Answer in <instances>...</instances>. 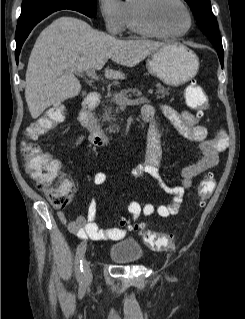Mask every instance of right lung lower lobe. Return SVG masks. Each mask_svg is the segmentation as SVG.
<instances>
[{
  "instance_id": "obj_1",
  "label": "right lung lower lobe",
  "mask_w": 245,
  "mask_h": 319,
  "mask_svg": "<svg viewBox=\"0 0 245 319\" xmlns=\"http://www.w3.org/2000/svg\"><path fill=\"white\" fill-rule=\"evenodd\" d=\"M50 14H46V15H42V16L33 18V19H31L25 23H22V24H17L16 34H15V39H16L15 57H16L17 62L19 59L21 47H22L24 41L26 40V38L28 37L29 33L31 32V30L34 28V26L38 22H40L42 19H44L45 17H47Z\"/></svg>"
}]
</instances>
